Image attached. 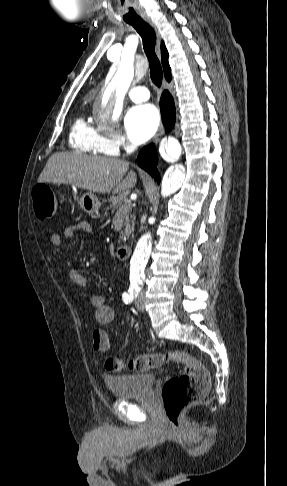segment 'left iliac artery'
I'll return each instance as SVG.
<instances>
[{"instance_id":"1","label":"left iliac artery","mask_w":287,"mask_h":486,"mask_svg":"<svg viewBox=\"0 0 287 486\" xmlns=\"http://www.w3.org/2000/svg\"><path fill=\"white\" fill-rule=\"evenodd\" d=\"M133 298H134V296H128V297H125L123 300L125 301V303H128L129 302L128 300H133Z\"/></svg>"}]
</instances>
